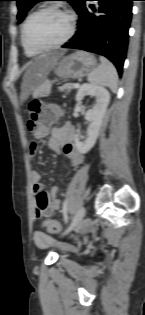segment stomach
<instances>
[{"label":"stomach","instance_id":"stomach-1","mask_svg":"<svg viewBox=\"0 0 145 315\" xmlns=\"http://www.w3.org/2000/svg\"><path fill=\"white\" fill-rule=\"evenodd\" d=\"M95 57L85 51H76L62 56L54 67V73L64 79H79L88 76L95 68Z\"/></svg>","mask_w":145,"mask_h":315}]
</instances>
